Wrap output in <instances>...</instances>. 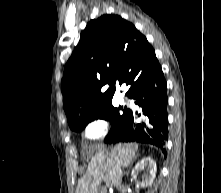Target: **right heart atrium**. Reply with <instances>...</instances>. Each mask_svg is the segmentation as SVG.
I'll use <instances>...</instances> for the list:
<instances>
[{"label":"right heart atrium","mask_w":221,"mask_h":193,"mask_svg":"<svg viewBox=\"0 0 221 193\" xmlns=\"http://www.w3.org/2000/svg\"><path fill=\"white\" fill-rule=\"evenodd\" d=\"M107 127L108 125L105 119H94L86 126L84 135L90 141L98 140L106 134Z\"/></svg>","instance_id":"right-heart-atrium-1"}]
</instances>
